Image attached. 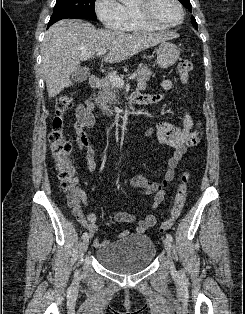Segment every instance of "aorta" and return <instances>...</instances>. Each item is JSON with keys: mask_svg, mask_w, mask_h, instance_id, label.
I'll return each mask as SVG.
<instances>
[{"mask_svg": "<svg viewBox=\"0 0 245 314\" xmlns=\"http://www.w3.org/2000/svg\"><path fill=\"white\" fill-rule=\"evenodd\" d=\"M120 2H122V3H125V2H127V0H119Z\"/></svg>", "mask_w": 245, "mask_h": 314, "instance_id": "762f6f07", "label": "aorta"}]
</instances>
